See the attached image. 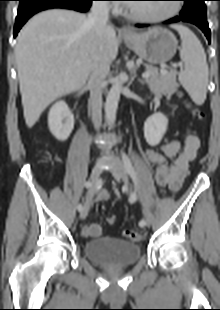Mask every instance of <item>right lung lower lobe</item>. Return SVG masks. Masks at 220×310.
<instances>
[{
  "mask_svg": "<svg viewBox=\"0 0 220 310\" xmlns=\"http://www.w3.org/2000/svg\"><path fill=\"white\" fill-rule=\"evenodd\" d=\"M20 2L18 15L15 21L14 37L27 22V20L39 11L51 8H66L80 12L89 9L93 0H18Z\"/></svg>",
  "mask_w": 220,
  "mask_h": 310,
  "instance_id": "obj_1",
  "label": "right lung lower lobe"
}]
</instances>
